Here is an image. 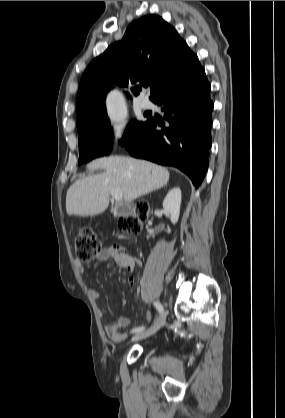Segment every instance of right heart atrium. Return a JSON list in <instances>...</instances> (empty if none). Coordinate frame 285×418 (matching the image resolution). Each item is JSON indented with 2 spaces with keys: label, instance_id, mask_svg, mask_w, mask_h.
Here are the masks:
<instances>
[{
  "label": "right heart atrium",
  "instance_id": "d8ad5b80",
  "mask_svg": "<svg viewBox=\"0 0 285 418\" xmlns=\"http://www.w3.org/2000/svg\"><path fill=\"white\" fill-rule=\"evenodd\" d=\"M106 138L110 147L119 148L127 144L129 135L125 128L119 125H112L107 130Z\"/></svg>",
  "mask_w": 285,
  "mask_h": 418
}]
</instances>
